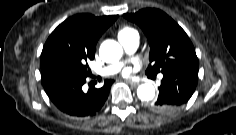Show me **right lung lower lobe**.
<instances>
[{"instance_id": "1", "label": "right lung lower lobe", "mask_w": 236, "mask_h": 135, "mask_svg": "<svg viewBox=\"0 0 236 135\" xmlns=\"http://www.w3.org/2000/svg\"><path fill=\"white\" fill-rule=\"evenodd\" d=\"M88 75L72 72L42 73V84L52 103L72 117L93 116L105 103L114 80L107 79L101 88L82 90Z\"/></svg>"}]
</instances>
